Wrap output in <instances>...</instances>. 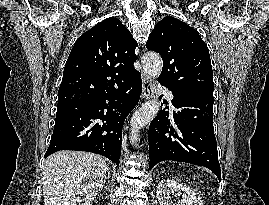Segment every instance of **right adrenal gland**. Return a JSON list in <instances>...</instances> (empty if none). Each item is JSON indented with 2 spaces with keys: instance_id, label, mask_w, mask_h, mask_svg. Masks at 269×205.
<instances>
[{
  "instance_id": "1",
  "label": "right adrenal gland",
  "mask_w": 269,
  "mask_h": 205,
  "mask_svg": "<svg viewBox=\"0 0 269 205\" xmlns=\"http://www.w3.org/2000/svg\"><path fill=\"white\" fill-rule=\"evenodd\" d=\"M110 171L108 170V175H107V177L105 178V180H104V184L106 183V182H108V184H110Z\"/></svg>"
}]
</instances>
